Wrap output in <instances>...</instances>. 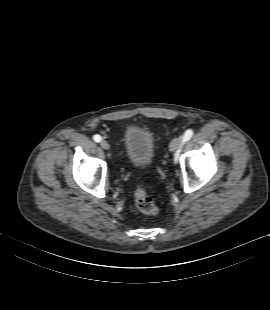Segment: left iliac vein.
Masks as SVG:
<instances>
[{
  "instance_id": "left-iliac-vein-1",
  "label": "left iliac vein",
  "mask_w": 270,
  "mask_h": 310,
  "mask_svg": "<svg viewBox=\"0 0 270 310\" xmlns=\"http://www.w3.org/2000/svg\"><path fill=\"white\" fill-rule=\"evenodd\" d=\"M182 142H183L182 137L174 138L169 144V150L171 152H174L182 144Z\"/></svg>"
}]
</instances>
